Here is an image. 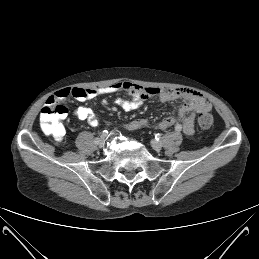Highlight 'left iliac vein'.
Here are the masks:
<instances>
[{"label": "left iliac vein", "instance_id": "obj_1", "mask_svg": "<svg viewBox=\"0 0 259 259\" xmlns=\"http://www.w3.org/2000/svg\"><path fill=\"white\" fill-rule=\"evenodd\" d=\"M151 146L153 147V149L155 150H160L163 146L162 142L161 141H156V140H153L151 142Z\"/></svg>", "mask_w": 259, "mask_h": 259}]
</instances>
